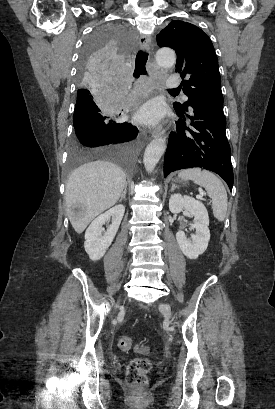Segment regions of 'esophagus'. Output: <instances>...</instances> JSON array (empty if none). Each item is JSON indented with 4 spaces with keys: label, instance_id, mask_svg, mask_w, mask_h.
Returning a JSON list of instances; mask_svg holds the SVG:
<instances>
[{
    "label": "esophagus",
    "instance_id": "1",
    "mask_svg": "<svg viewBox=\"0 0 275 409\" xmlns=\"http://www.w3.org/2000/svg\"><path fill=\"white\" fill-rule=\"evenodd\" d=\"M151 46V37L149 35H141L139 39V47L144 52H147ZM152 137H166V131L162 126H158L152 131Z\"/></svg>",
    "mask_w": 275,
    "mask_h": 409
}]
</instances>
